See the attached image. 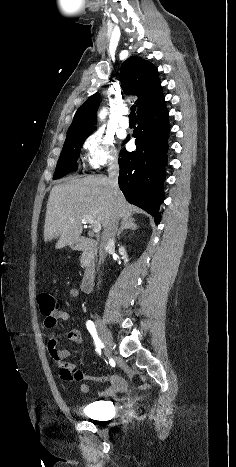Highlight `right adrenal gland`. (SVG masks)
<instances>
[{
  "label": "right adrenal gland",
  "mask_w": 236,
  "mask_h": 467,
  "mask_svg": "<svg viewBox=\"0 0 236 467\" xmlns=\"http://www.w3.org/2000/svg\"><path fill=\"white\" fill-rule=\"evenodd\" d=\"M138 228H139V226H137V224H135V220L133 218L132 219L122 220L120 229L118 230L116 236H117V238H120V235H121V233H122V231L124 229L136 230Z\"/></svg>",
  "instance_id": "2a0ac1e0"
}]
</instances>
